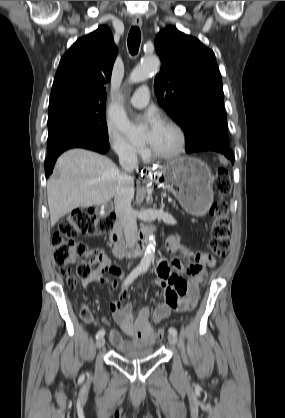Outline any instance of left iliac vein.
<instances>
[{"label":"left iliac vein","mask_w":285,"mask_h":418,"mask_svg":"<svg viewBox=\"0 0 285 418\" xmlns=\"http://www.w3.org/2000/svg\"><path fill=\"white\" fill-rule=\"evenodd\" d=\"M168 341H169V343H170L171 345H173V346H176V345H177V343H178V340H177L176 335H173V334H169V335H168Z\"/></svg>","instance_id":"1"}]
</instances>
